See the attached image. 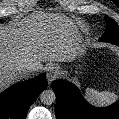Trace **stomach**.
<instances>
[{
  "label": "stomach",
  "mask_w": 119,
  "mask_h": 119,
  "mask_svg": "<svg viewBox=\"0 0 119 119\" xmlns=\"http://www.w3.org/2000/svg\"><path fill=\"white\" fill-rule=\"evenodd\" d=\"M85 53L83 45L79 44L76 57L81 58Z\"/></svg>",
  "instance_id": "0dacf381"
}]
</instances>
